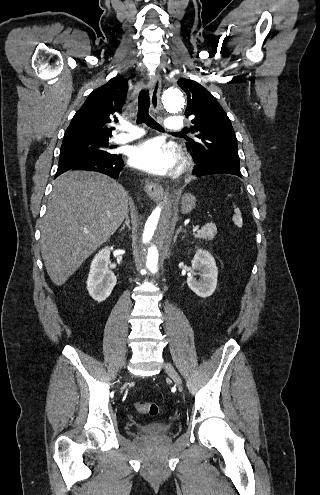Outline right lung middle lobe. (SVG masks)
Here are the masks:
<instances>
[{
    "instance_id": "obj_1",
    "label": "right lung middle lobe",
    "mask_w": 320,
    "mask_h": 495,
    "mask_svg": "<svg viewBox=\"0 0 320 495\" xmlns=\"http://www.w3.org/2000/svg\"><path fill=\"white\" fill-rule=\"evenodd\" d=\"M108 138H82L64 140L60 149L61 156L87 155L109 156Z\"/></svg>"
}]
</instances>
